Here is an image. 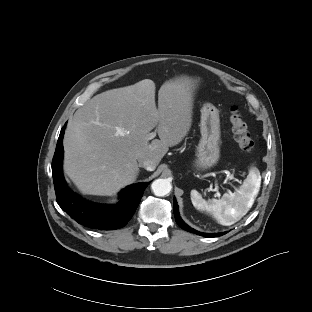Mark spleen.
Segmentation results:
<instances>
[{
  "label": "spleen",
  "mask_w": 312,
  "mask_h": 312,
  "mask_svg": "<svg viewBox=\"0 0 312 312\" xmlns=\"http://www.w3.org/2000/svg\"><path fill=\"white\" fill-rule=\"evenodd\" d=\"M260 175L251 172L247 182L235 193H225L221 199H212L208 204L196 191H191V201L198 210L213 214L221 225L229 226L239 221L252 207L259 192Z\"/></svg>",
  "instance_id": "1"
}]
</instances>
